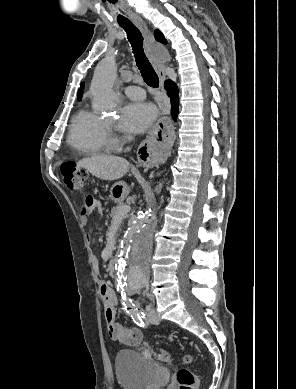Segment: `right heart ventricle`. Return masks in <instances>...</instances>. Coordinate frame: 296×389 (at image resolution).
I'll use <instances>...</instances> for the list:
<instances>
[{"instance_id": "1", "label": "right heart ventricle", "mask_w": 296, "mask_h": 389, "mask_svg": "<svg viewBox=\"0 0 296 389\" xmlns=\"http://www.w3.org/2000/svg\"><path fill=\"white\" fill-rule=\"evenodd\" d=\"M67 142L71 148L85 155L106 152L109 143L105 120L93 112L80 110L72 119Z\"/></svg>"}]
</instances>
